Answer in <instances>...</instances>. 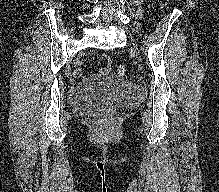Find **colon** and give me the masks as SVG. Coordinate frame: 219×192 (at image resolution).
Returning <instances> with one entry per match:
<instances>
[{
  "instance_id": "5ec220e1",
  "label": "colon",
  "mask_w": 219,
  "mask_h": 192,
  "mask_svg": "<svg viewBox=\"0 0 219 192\" xmlns=\"http://www.w3.org/2000/svg\"><path fill=\"white\" fill-rule=\"evenodd\" d=\"M166 1H169V0H166ZM115 73L117 76L123 77L126 74V68L123 65H119V66H117Z\"/></svg>"
}]
</instances>
